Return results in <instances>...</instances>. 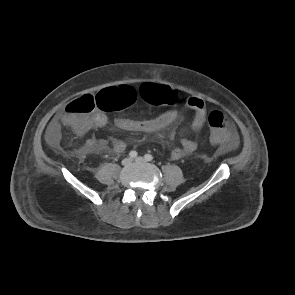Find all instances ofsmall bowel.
<instances>
[{"label":"small bowel","instance_id":"small-bowel-1","mask_svg":"<svg viewBox=\"0 0 295 295\" xmlns=\"http://www.w3.org/2000/svg\"><path fill=\"white\" fill-rule=\"evenodd\" d=\"M187 107L193 111V119L190 125V133L198 134L203 128L206 121V105L204 101L198 97H190L186 101ZM179 112L177 109H170L158 117L151 120H132L128 118L118 117L115 119V126L123 131L137 132L144 134H158L170 126L173 122L177 120ZM108 118L102 112H94L86 117L81 125L77 127L75 132L78 135H85L92 128H103L107 125ZM175 132L171 131L169 137L173 138ZM47 143L56 148L60 141V123L59 119L55 118L49 124L46 131ZM237 143L236 135L234 140L229 144L230 147H234ZM198 147V142L190 137H184L181 141L180 147H175L171 150L170 157L173 160H179L184 157L191 155ZM85 151L88 153L100 152L108 149L107 145L96 138L88 139L85 147ZM111 149L115 153H122L126 149V144L119 139H113L111 144Z\"/></svg>","mask_w":295,"mask_h":295}]
</instances>
